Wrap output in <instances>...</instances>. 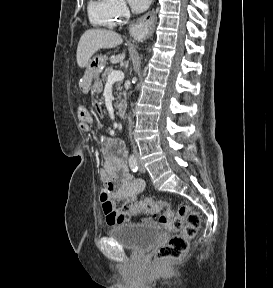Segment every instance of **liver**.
<instances>
[{
  "instance_id": "obj_1",
  "label": "liver",
  "mask_w": 273,
  "mask_h": 288,
  "mask_svg": "<svg viewBox=\"0 0 273 288\" xmlns=\"http://www.w3.org/2000/svg\"><path fill=\"white\" fill-rule=\"evenodd\" d=\"M123 39L118 33L105 29H89L83 33L77 47V64L86 67L88 61L100 49H110L122 44ZM125 58V53L115 56L111 63L116 64Z\"/></svg>"
}]
</instances>
